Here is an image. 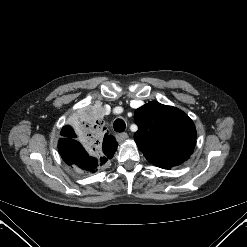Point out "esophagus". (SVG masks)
Here are the masks:
<instances>
[{"instance_id":"1","label":"esophagus","mask_w":247,"mask_h":247,"mask_svg":"<svg viewBox=\"0 0 247 247\" xmlns=\"http://www.w3.org/2000/svg\"><path fill=\"white\" fill-rule=\"evenodd\" d=\"M128 138V134L127 133H120V134H117V139L119 141H124L125 139Z\"/></svg>"}]
</instances>
